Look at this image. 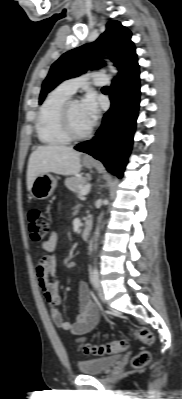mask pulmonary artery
<instances>
[{"label":"pulmonary artery","instance_id":"1","mask_svg":"<svg viewBox=\"0 0 182 399\" xmlns=\"http://www.w3.org/2000/svg\"><path fill=\"white\" fill-rule=\"evenodd\" d=\"M91 82L97 85L105 84L107 82L106 74L101 71H94L65 80L60 84L59 87L70 94H74L79 88L87 86Z\"/></svg>","mask_w":182,"mask_h":399}]
</instances>
